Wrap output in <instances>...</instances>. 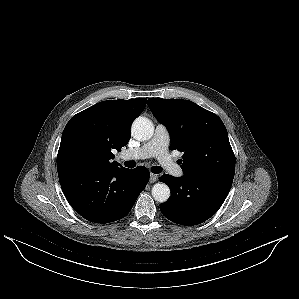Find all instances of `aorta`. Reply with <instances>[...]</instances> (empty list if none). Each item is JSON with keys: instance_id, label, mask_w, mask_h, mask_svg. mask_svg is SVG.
<instances>
[{"instance_id": "762f6f07", "label": "aorta", "mask_w": 299, "mask_h": 299, "mask_svg": "<svg viewBox=\"0 0 299 299\" xmlns=\"http://www.w3.org/2000/svg\"><path fill=\"white\" fill-rule=\"evenodd\" d=\"M131 133L136 140H149L154 133L153 123L145 117H139L133 122ZM152 196L157 202H166L170 197V188L165 183L158 182L152 187Z\"/></svg>"}]
</instances>
